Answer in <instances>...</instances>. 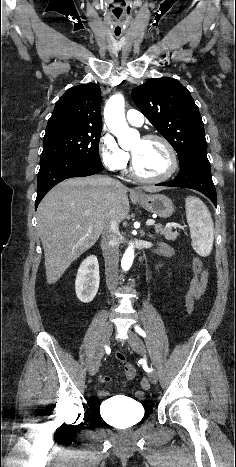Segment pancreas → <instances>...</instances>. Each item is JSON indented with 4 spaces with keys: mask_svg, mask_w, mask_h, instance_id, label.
Returning a JSON list of instances; mask_svg holds the SVG:
<instances>
[{
    "mask_svg": "<svg viewBox=\"0 0 236 467\" xmlns=\"http://www.w3.org/2000/svg\"><path fill=\"white\" fill-rule=\"evenodd\" d=\"M155 231L162 234L168 241H174L178 236V232H173L170 228H163L161 224L155 226Z\"/></svg>",
    "mask_w": 236,
    "mask_h": 467,
    "instance_id": "obj_1",
    "label": "pancreas"
}]
</instances>
